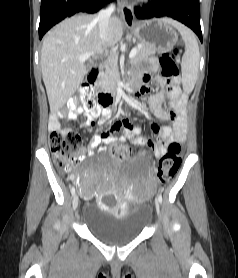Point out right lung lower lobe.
Wrapping results in <instances>:
<instances>
[{
	"mask_svg": "<svg viewBox=\"0 0 238 278\" xmlns=\"http://www.w3.org/2000/svg\"><path fill=\"white\" fill-rule=\"evenodd\" d=\"M112 0H42L39 38L56 23L79 12L95 13Z\"/></svg>",
	"mask_w": 238,
	"mask_h": 278,
	"instance_id": "98d812e1",
	"label": "right lung lower lobe"
}]
</instances>
